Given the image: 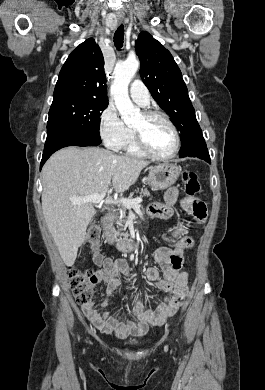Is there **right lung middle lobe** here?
<instances>
[{"label": "right lung middle lobe", "mask_w": 265, "mask_h": 390, "mask_svg": "<svg viewBox=\"0 0 265 390\" xmlns=\"http://www.w3.org/2000/svg\"><path fill=\"white\" fill-rule=\"evenodd\" d=\"M107 106L108 101L90 98L53 100L49 110L47 131L67 128L100 139L99 120Z\"/></svg>", "instance_id": "right-lung-middle-lobe-1"}]
</instances>
